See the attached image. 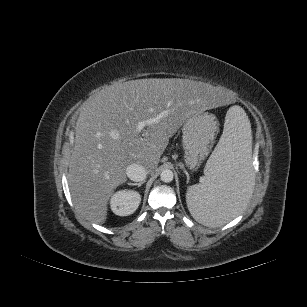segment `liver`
<instances>
[{"label": "liver", "mask_w": 307, "mask_h": 307, "mask_svg": "<svg viewBox=\"0 0 307 307\" xmlns=\"http://www.w3.org/2000/svg\"><path fill=\"white\" fill-rule=\"evenodd\" d=\"M227 95L179 78L137 79L107 86L84 104L75 124L68 185L76 209L104 224L108 201L126 182V168H157L169 139L191 115L220 109ZM152 119L142 132L140 121Z\"/></svg>", "instance_id": "liver-1"}]
</instances>
